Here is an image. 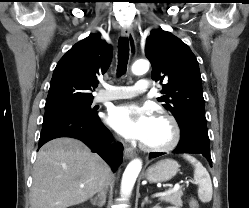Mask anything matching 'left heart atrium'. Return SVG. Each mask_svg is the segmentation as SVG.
I'll return each instance as SVG.
<instances>
[{
    "mask_svg": "<svg viewBox=\"0 0 249 208\" xmlns=\"http://www.w3.org/2000/svg\"><path fill=\"white\" fill-rule=\"evenodd\" d=\"M154 119L148 107L130 103L111 109L107 121L124 138L145 143L151 133Z\"/></svg>",
    "mask_w": 249,
    "mask_h": 208,
    "instance_id": "39dd6f15",
    "label": "left heart atrium"
}]
</instances>
